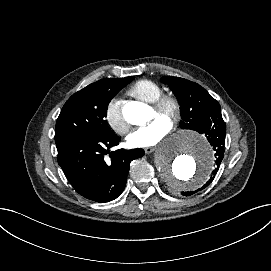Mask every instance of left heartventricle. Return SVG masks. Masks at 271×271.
I'll return each instance as SVG.
<instances>
[{
	"label": "left heart ventricle",
	"instance_id": "b2bd125f",
	"mask_svg": "<svg viewBox=\"0 0 271 271\" xmlns=\"http://www.w3.org/2000/svg\"><path fill=\"white\" fill-rule=\"evenodd\" d=\"M157 118H162V119H164V120L167 121L166 118H164V117L158 115V114L152 109V114H151L150 121H153V120H155V119H157Z\"/></svg>",
	"mask_w": 271,
	"mask_h": 271
}]
</instances>
